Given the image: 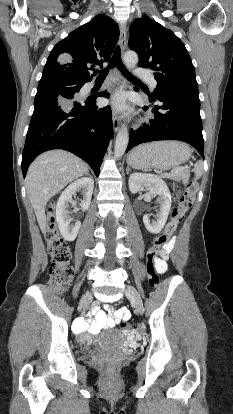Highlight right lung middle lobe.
Masks as SVG:
<instances>
[{"label": "right lung middle lobe", "instance_id": "right-lung-middle-lobe-1", "mask_svg": "<svg viewBox=\"0 0 233 414\" xmlns=\"http://www.w3.org/2000/svg\"><path fill=\"white\" fill-rule=\"evenodd\" d=\"M84 85L82 82L69 80V79H59V78H49L41 79L38 85L37 91L51 90L58 92L60 94L66 93L71 94L79 92L80 88Z\"/></svg>", "mask_w": 233, "mask_h": 414}]
</instances>
